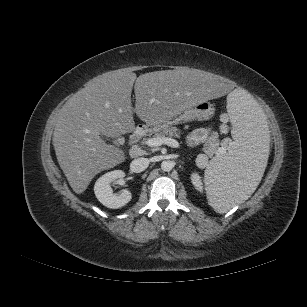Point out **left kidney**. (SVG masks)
I'll list each match as a JSON object with an SVG mask.
<instances>
[{
  "instance_id": "obj_1",
  "label": "left kidney",
  "mask_w": 307,
  "mask_h": 307,
  "mask_svg": "<svg viewBox=\"0 0 307 307\" xmlns=\"http://www.w3.org/2000/svg\"><path fill=\"white\" fill-rule=\"evenodd\" d=\"M191 181L198 191L201 192L203 190L202 180H201V177L198 173H196V172L192 173Z\"/></svg>"
}]
</instances>
